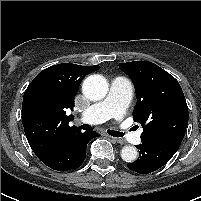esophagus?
<instances>
[{
    "mask_svg": "<svg viewBox=\"0 0 201 201\" xmlns=\"http://www.w3.org/2000/svg\"><path fill=\"white\" fill-rule=\"evenodd\" d=\"M111 139H112L114 142H116V143L124 144V140L121 139V138L111 137Z\"/></svg>",
    "mask_w": 201,
    "mask_h": 201,
    "instance_id": "34e87169",
    "label": "esophagus"
}]
</instances>
